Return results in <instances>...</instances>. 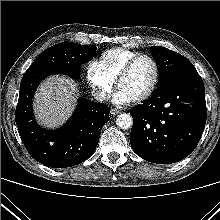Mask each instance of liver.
Segmentation results:
<instances>
[{
  "instance_id": "obj_1",
  "label": "liver",
  "mask_w": 220,
  "mask_h": 220,
  "mask_svg": "<svg viewBox=\"0 0 220 220\" xmlns=\"http://www.w3.org/2000/svg\"><path fill=\"white\" fill-rule=\"evenodd\" d=\"M76 84L69 78L52 76L38 87L34 112L41 125L54 128L71 115L78 97Z\"/></svg>"
}]
</instances>
